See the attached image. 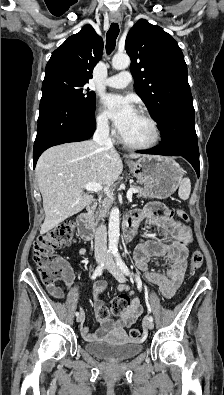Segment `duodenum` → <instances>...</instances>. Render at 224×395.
<instances>
[{"label":"duodenum","instance_id":"duodenum-1","mask_svg":"<svg viewBox=\"0 0 224 395\" xmlns=\"http://www.w3.org/2000/svg\"><path fill=\"white\" fill-rule=\"evenodd\" d=\"M97 204V200L93 199L90 205L76 218V228L79 236L84 240H91L94 237V225L92 223V213ZM140 222V214L138 211L129 213L123 221L124 240L129 243L134 237L138 224Z\"/></svg>","mask_w":224,"mask_h":395}]
</instances>
